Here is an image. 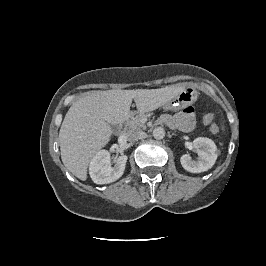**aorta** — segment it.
Listing matches in <instances>:
<instances>
[{"mask_svg": "<svg viewBox=\"0 0 266 266\" xmlns=\"http://www.w3.org/2000/svg\"><path fill=\"white\" fill-rule=\"evenodd\" d=\"M153 136L155 139H163L165 137V130L162 127H156L153 130Z\"/></svg>", "mask_w": 266, "mask_h": 266, "instance_id": "aorta-1", "label": "aorta"}]
</instances>
